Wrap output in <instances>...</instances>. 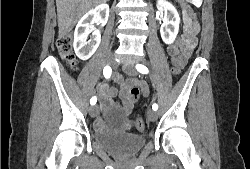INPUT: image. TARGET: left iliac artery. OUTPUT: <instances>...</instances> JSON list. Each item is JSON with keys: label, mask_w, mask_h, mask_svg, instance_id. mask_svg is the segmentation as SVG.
Instances as JSON below:
<instances>
[{"label": "left iliac artery", "mask_w": 250, "mask_h": 169, "mask_svg": "<svg viewBox=\"0 0 250 169\" xmlns=\"http://www.w3.org/2000/svg\"><path fill=\"white\" fill-rule=\"evenodd\" d=\"M136 69H137V71H139L140 73H142V74H147L149 71H148V68L146 67V66H144V65H142V64H137L136 65ZM152 109L154 110V111H156L157 109H158V105L156 104V103H154L153 105H152Z\"/></svg>", "instance_id": "obj_1"}]
</instances>
